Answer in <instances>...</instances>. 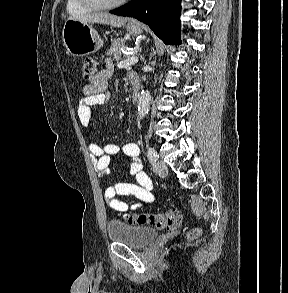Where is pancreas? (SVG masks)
<instances>
[{
  "label": "pancreas",
  "instance_id": "1",
  "mask_svg": "<svg viewBox=\"0 0 288 293\" xmlns=\"http://www.w3.org/2000/svg\"><path fill=\"white\" fill-rule=\"evenodd\" d=\"M125 39H115L111 44L110 50L107 52L108 56H112L114 60L119 61L122 57V48H125Z\"/></svg>",
  "mask_w": 288,
  "mask_h": 293
}]
</instances>
